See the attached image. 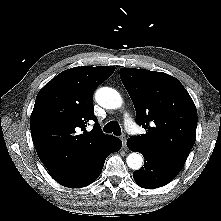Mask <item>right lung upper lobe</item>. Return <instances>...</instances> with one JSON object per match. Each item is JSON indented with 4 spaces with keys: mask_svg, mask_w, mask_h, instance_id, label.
<instances>
[{
    "mask_svg": "<svg viewBox=\"0 0 221 221\" xmlns=\"http://www.w3.org/2000/svg\"><path fill=\"white\" fill-rule=\"evenodd\" d=\"M114 70V66L71 68L38 93L30 129L37 154L55 180L71 172L114 137L102 132L92 100L95 88ZM90 120L95 125L87 132Z\"/></svg>",
    "mask_w": 221,
    "mask_h": 221,
    "instance_id": "cb5924a9",
    "label": "right lung upper lobe"
}]
</instances>
